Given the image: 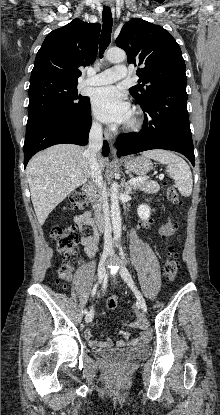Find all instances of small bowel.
Listing matches in <instances>:
<instances>
[{
    "label": "small bowel",
    "instance_id": "obj_1",
    "mask_svg": "<svg viewBox=\"0 0 220 415\" xmlns=\"http://www.w3.org/2000/svg\"><path fill=\"white\" fill-rule=\"evenodd\" d=\"M143 226H147L146 223L142 224ZM74 227L79 231L83 232L85 228H91L92 232L89 234H82L80 238V242L84 247L85 253L89 257H94L99 249V234L96 228V224L91 217V213L86 211L74 218ZM137 327L140 329H146V326L143 320L139 319L136 323ZM119 334L121 335V340L116 343L118 348H125V347H136V346H143L148 339H143L142 334L140 337L129 340V334L126 331L120 330ZM84 337L88 341V344L92 348L97 349H109L112 347V341L107 339L103 342H97L92 338V332L89 329L84 330Z\"/></svg>",
    "mask_w": 220,
    "mask_h": 415
}]
</instances>
